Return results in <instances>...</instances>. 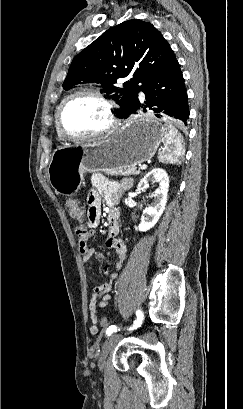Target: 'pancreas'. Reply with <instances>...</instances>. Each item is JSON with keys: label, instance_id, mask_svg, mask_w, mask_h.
<instances>
[{"label": "pancreas", "instance_id": "obj_1", "mask_svg": "<svg viewBox=\"0 0 243 409\" xmlns=\"http://www.w3.org/2000/svg\"><path fill=\"white\" fill-rule=\"evenodd\" d=\"M111 175H123V176H130V175H139L140 170L136 169L135 167L124 168L116 171L107 172Z\"/></svg>", "mask_w": 243, "mask_h": 409}]
</instances>
